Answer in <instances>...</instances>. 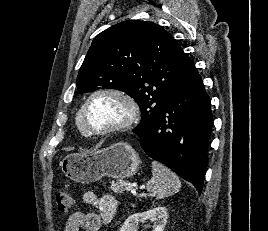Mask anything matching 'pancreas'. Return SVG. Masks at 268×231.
I'll use <instances>...</instances> for the list:
<instances>
[{
	"mask_svg": "<svg viewBox=\"0 0 268 231\" xmlns=\"http://www.w3.org/2000/svg\"><path fill=\"white\" fill-rule=\"evenodd\" d=\"M110 189L113 193L121 194L126 189V185L124 182H112Z\"/></svg>",
	"mask_w": 268,
	"mask_h": 231,
	"instance_id": "cf45deb5",
	"label": "pancreas"
}]
</instances>
